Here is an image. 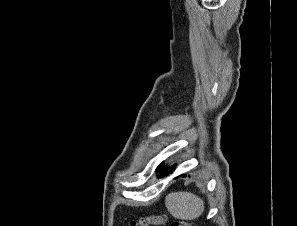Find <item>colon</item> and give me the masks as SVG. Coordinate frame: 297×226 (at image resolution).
Returning a JSON list of instances; mask_svg holds the SVG:
<instances>
[{"label":"colon","instance_id":"colon-1","mask_svg":"<svg viewBox=\"0 0 297 226\" xmlns=\"http://www.w3.org/2000/svg\"><path fill=\"white\" fill-rule=\"evenodd\" d=\"M166 221V218L162 215H149L139 218L138 220L132 221L130 226H156L162 225ZM171 226H191L186 221H174Z\"/></svg>","mask_w":297,"mask_h":226}]
</instances>
